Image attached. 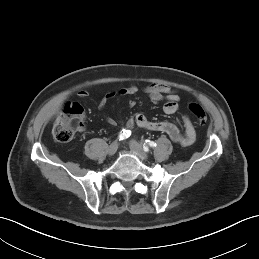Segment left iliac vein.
I'll return each mask as SVG.
<instances>
[{
	"label": "left iliac vein",
	"mask_w": 259,
	"mask_h": 259,
	"mask_svg": "<svg viewBox=\"0 0 259 259\" xmlns=\"http://www.w3.org/2000/svg\"><path fill=\"white\" fill-rule=\"evenodd\" d=\"M130 149L136 154H138L139 157L142 158L143 160L147 159L148 156L144 151L143 147L135 140L130 141Z\"/></svg>",
	"instance_id": "4c4485c4"
}]
</instances>
